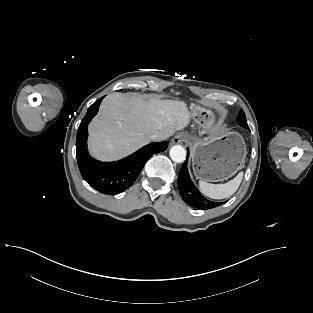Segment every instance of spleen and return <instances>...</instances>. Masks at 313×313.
Returning a JSON list of instances; mask_svg holds the SVG:
<instances>
[{
    "instance_id": "1",
    "label": "spleen",
    "mask_w": 313,
    "mask_h": 313,
    "mask_svg": "<svg viewBox=\"0 0 313 313\" xmlns=\"http://www.w3.org/2000/svg\"><path fill=\"white\" fill-rule=\"evenodd\" d=\"M243 172L225 184H210L203 180L199 181L200 191L212 199H224L234 194L240 186L243 179Z\"/></svg>"
}]
</instances>
